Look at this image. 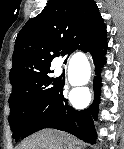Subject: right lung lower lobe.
Here are the masks:
<instances>
[{
  "mask_svg": "<svg viewBox=\"0 0 124 149\" xmlns=\"http://www.w3.org/2000/svg\"><path fill=\"white\" fill-rule=\"evenodd\" d=\"M107 45V40L105 39L88 51L96 66L95 73L97 74L93 83V104L85 110H75L63 95V84L59 83L47 102L39 108L27 123L21 136L22 139L41 129L55 128L73 134L85 142L95 143L97 134L94 121L97 120L98 116L101 86L99 73L106 61L104 55Z\"/></svg>",
  "mask_w": 124,
  "mask_h": 149,
  "instance_id": "obj_1",
  "label": "right lung lower lobe"
}]
</instances>
